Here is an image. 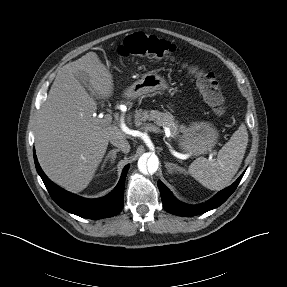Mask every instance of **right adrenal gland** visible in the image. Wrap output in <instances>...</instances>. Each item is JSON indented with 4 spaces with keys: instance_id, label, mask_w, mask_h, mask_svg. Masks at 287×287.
<instances>
[{
    "instance_id": "1",
    "label": "right adrenal gland",
    "mask_w": 287,
    "mask_h": 287,
    "mask_svg": "<svg viewBox=\"0 0 287 287\" xmlns=\"http://www.w3.org/2000/svg\"><path fill=\"white\" fill-rule=\"evenodd\" d=\"M119 151H120L119 149L110 150L109 153L107 154V156L104 159V162L102 164V168H104L105 163L108 161V159H111L110 160L111 164H113L115 162L116 157H117V152H119Z\"/></svg>"
}]
</instances>
